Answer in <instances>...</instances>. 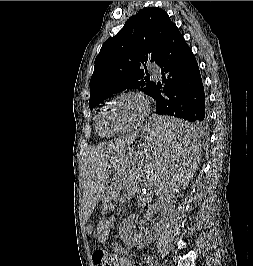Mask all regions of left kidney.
I'll return each instance as SVG.
<instances>
[{
  "label": "left kidney",
  "mask_w": 253,
  "mask_h": 266,
  "mask_svg": "<svg viewBox=\"0 0 253 266\" xmlns=\"http://www.w3.org/2000/svg\"><path fill=\"white\" fill-rule=\"evenodd\" d=\"M138 216L130 215L123 222L119 229L120 238L130 247H144L152 242L155 233L150 230L145 233L136 231V224H138Z\"/></svg>",
  "instance_id": "left-kidney-1"
}]
</instances>
